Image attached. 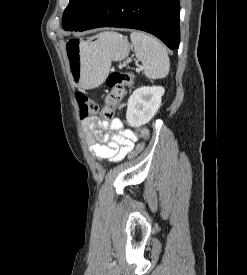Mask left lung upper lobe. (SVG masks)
Masks as SVG:
<instances>
[{"label":"left lung upper lobe","instance_id":"obj_1","mask_svg":"<svg viewBox=\"0 0 247 275\" xmlns=\"http://www.w3.org/2000/svg\"><path fill=\"white\" fill-rule=\"evenodd\" d=\"M103 0H70L64 11L62 24L65 30L80 28Z\"/></svg>","mask_w":247,"mask_h":275}]
</instances>
